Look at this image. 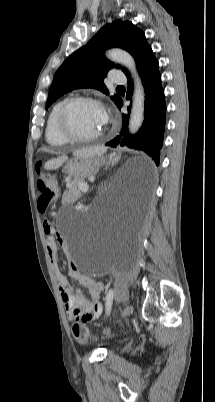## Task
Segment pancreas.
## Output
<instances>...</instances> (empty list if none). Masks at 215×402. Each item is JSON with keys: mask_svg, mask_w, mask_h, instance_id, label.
<instances>
[{"mask_svg": "<svg viewBox=\"0 0 215 402\" xmlns=\"http://www.w3.org/2000/svg\"><path fill=\"white\" fill-rule=\"evenodd\" d=\"M83 184H86L82 182ZM75 192L77 196H81V191L80 189V182L79 181H74L70 186H68V191L67 192Z\"/></svg>", "mask_w": 215, "mask_h": 402, "instance_id": "1", "label": "pancreas"}]
</instances>
